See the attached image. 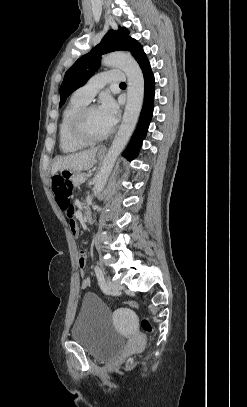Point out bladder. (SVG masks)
I'll return each instance as SVG.
<instances>
[{
  "label": "bladder",
  "instance_id": "1",
  "mask_svg": "<svg viewBox=\"0 0 247 407\" xmlns=\"http://www.w3.org/2000/svg\"><path fill=\"white\" fill-rule=\"evenodd\" d=\"M112 315L98 296L85 294L72 328V340L98 360L115 357L125 346L126 338L113 325Z\"/></svg>",
  "mask_w": 247,
  "mask_h": 407
}]
</instances>
